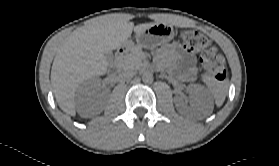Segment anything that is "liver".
Returning <instances> with one entry per match:
<instances>
[{
    "label": "liver",
    "mask_w": 279,
    "mask_h": 166,
    "mask_svg": "<svg viewBox=\"0 0 279 166\" xmlns=\"http://www.w3.org/2000/svg\"><path fill=\"white\" fill-rule=\"evenodd\" d=\"M154 24L134 26L125 15L112 14L74 30L58 49L51 69V83L59 107L75 116L76 89L84 81L106 73L108 61L104 53L125 44L132 31L138 34Z\"/></svg>",
    "instance_id": "liver-1"
}]
</instances>
